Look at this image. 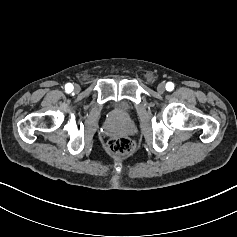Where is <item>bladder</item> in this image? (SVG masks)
I'll use <instances>...</instances> for the list:
<instances>
[{"instance_id": "31cf9c89", "label": "bladder", "mask_w": 237, "mask_h": 237, "mask_svg": "<svg viewBox=\"0 0 237 237\" xmlns=\"http://www.w3.org/2000/svg\"><path fill=\"white\" fill-rule=\"evenodd\" d=\"M122 108L125 112H130L132 110L131 105L128 103H124Z\"/></svg>"}]
</instances>
